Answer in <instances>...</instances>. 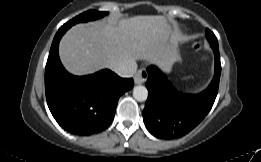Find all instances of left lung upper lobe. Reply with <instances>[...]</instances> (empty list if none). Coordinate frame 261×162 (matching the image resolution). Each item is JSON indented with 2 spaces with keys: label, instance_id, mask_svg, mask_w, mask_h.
<instances>
[{
  "label": "left lung upper lobe",
  "instance_id": "left-lung-upper-lobe-1",
  "mask_svg": "<svg viewBox=\"0 0 261 162\" xmlns=\"http://www.w3.org/2000/svg\"><path fill=\"white\" fill-rule=\"evenodd\" d=\"M206 37L209 40V42L218 44L216 36L214 35L213 32H211L208 29H206Z\"/></svg>",
  "mask_w": 261,
  "mask_h": 162
}]
</instances>
